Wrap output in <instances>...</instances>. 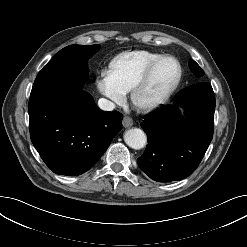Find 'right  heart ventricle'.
Wrapping results in <instances>:
<instances>
[{"label": "right heart ventricle", "instance_id": "e07e8e85", "mask_svg": "<svg viewBox=\"0 0 247 247\" xmlns=\"http://www.w3.org/2000/svg\"><path fill=\"white\" fill-rule=\"evenodd\" d=\"M160 56L147 50L124 52L111 61L109 71L118 87L130 92L146 68Z\"/></svg>", "mask_w": 247, "mask_h": 247}]
</instances>
